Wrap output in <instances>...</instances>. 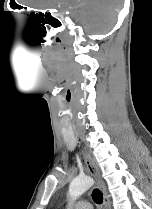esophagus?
<instances>
[{"label":"esophagus","mask_w":152,"mask_h":209,"mask_svg":"<svg viewBox=\"0 0 152 209\" xmlns=\"http://www.w3.org/2000/svg\"><path fill=\"white\" fill-rule=\"evenodd\" d=\"M82 153L84 156V160H85V164H86V168L88 170V172L91 174V176H93V178L95 179L98 187L101 189L102 194H103V209H110V205H109V200H108V196L106 193V189H105V184L101 178L100 172L96 166V164L94 163L91 154L88 152V150L86 148L82 149Z\"/></svg>","instance_id":"obj_1"}]
</instances>
